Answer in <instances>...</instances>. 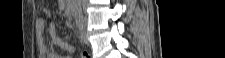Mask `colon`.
<instances>
[{"mask_svg":"<svg viewBox=\"0 0 225 58\" xmlns=\"http://www.w3.org/2000/svg\"><path fill=\"white\" fill-rule=\"evenodd\" d=\"M80 58H90L89 54L87 52H83L81 55H80Z\"/></svg>","mask_w":225,"mask_h":58,"instance_id":"5ec220e1","label":"colon"}]
</instances>
